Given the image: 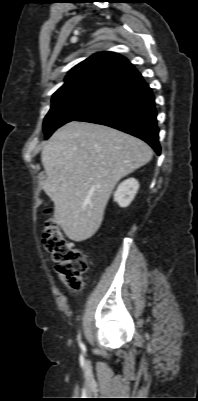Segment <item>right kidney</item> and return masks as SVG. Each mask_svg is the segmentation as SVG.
Listing matches in <instances>:
<instances>
[{"instance_id": "ca27d5eb", "label": "right kidney", "mask_w": 198, "mask_h": 401, "mask_svg": "<svg viewBox=\"0 0 198 401\" xmlns=\"http://www.w3.org/2000/svg\"><path fill=\"white\" fill-rule=\"evenodd\" d=\"M139 186L138 181L134 178L123 181L114 192V201L117 202L120 207L129 206L133 201Z\"/></svg>"}]
</instances>
